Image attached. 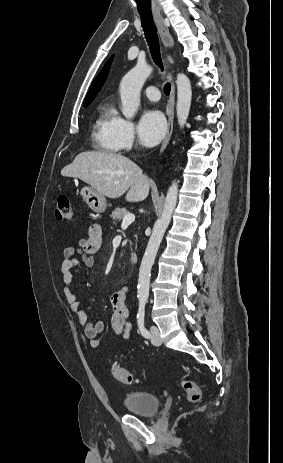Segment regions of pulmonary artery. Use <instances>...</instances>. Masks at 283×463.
Here are the masks:
<instances>
[{
    "label": "pulmonary artery",
    "instance_id": "1",
    "mask_svg": "<svg viewBox=\"0 0 283 463\" xmlns=\"http://www.w3.org/2000/svg\"><path fill=\"white\" fill-rule=\"evenodd\" d=\"M143 93L148 99L152 101H157L160 99V92L154 86H149V87L144 88Z\"/></svg>",
    "mask_w": 283,
    "mask_h": 463
}]
</instances>
